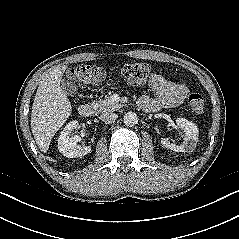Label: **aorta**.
<instances>
[{
	"label": "aorta",
	"mask_w": 239,
	"mask_h": 239,
	"mask_svg": "<svg viewBox=\"0 0 239 239\" xmlns=\"http://www.w3.org/2000/svg\"><path fill=\"white\" fill-rule=\"evenodd\" d=\"M123 120L126 126L132 127L138 123V116L136 113L130 111L124 115Z\"/></svg>",
	"instance_id": "1"
}]
</instances>
